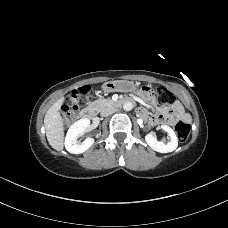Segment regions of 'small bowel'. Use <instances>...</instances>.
Masks as SVG:
<instances>
[{"label":"small bowel","mask_w":228,"mask_h":228,"mask_svg":"<svg viewBox=\"0 0 228 228\" xmlns=\"http://www.w3.org/2000/svg\"><path fill=\"white\" fill-rule=\"evenodd\" d=\"M142 98L145 101L154 103L155 99L152 93H143ZM139 112L143 116H147V110L145 108H140ZM177 119H182V120H188L189 116L188 114L184 111L182 104L179 101L174 102L171 111H164L158 115H153L150 117V120L153 124L156 123H167V124H173Z\"/></svg>","instance_id":"c3829d8e"}]
</instances>
